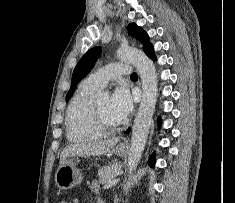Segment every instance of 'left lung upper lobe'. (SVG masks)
<instances>
[{
    "label": "left lung upper lobe",
    "instance_id": "5c2ea615",
    "mask_svg": "<svg viewBox=\"0 0 235 203\" xmlns=\"http://www.w3.org/2000/svg\"><path fill=\"white\" fill-rule=\"evenodd\" d=\"M127 29L129 30V34L131 36L135 37L143 43L144 52L152 46V44L149 42L147 33L141 27L137 26L135 23H131L128 25ZM101 50V47H94L87 51L79 60L73 71L71 87L67 93L66 101H68V99L73 95L77 84L91 71L101 54Z\"/></svg>",
    "mask_w": 235,
    "mask_h": 203
}]
</instances>
